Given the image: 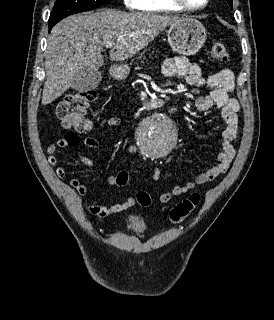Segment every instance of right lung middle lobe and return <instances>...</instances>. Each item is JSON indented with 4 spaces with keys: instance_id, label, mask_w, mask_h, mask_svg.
<instances>
[{
    "instance_id": "obj_1",
    "label": "right lung middle lobe",
    "mask_w": 274,
    "mask_h": 320,
    "mask_svg": "<svg viewBox=\"0 0 274 320\" xmlns=\"http://www.w3.org/2000/svg\"><path fill=\"white\" fill-rule=\"evenodd\" d=\"M110 1L112 0H56L48 24H56L69 15L91 11Z\"/></svg>"
}]
</instances>
